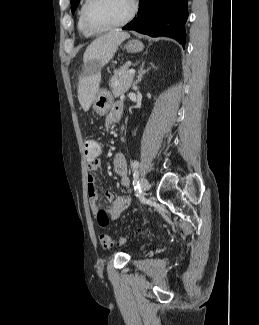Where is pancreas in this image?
<instances>
[{"label": "pancreas", "instance_id": "1", "mask_svg": "<svg viewBox=\"0 0 259 325\" xmlns=\"http://www.w3.org/2000/svg\"><path fill=\"white\" fill-rule=\"evenodd\" d=\"M130 64L126 63L119 70H117L114 76L110 80L112 93L115 97L126 93L132 84L134 74L129 73ZM121 72V73H120Z\"/></svg>", "mask_w": 259, "mask_h": 325}]
</instances>
